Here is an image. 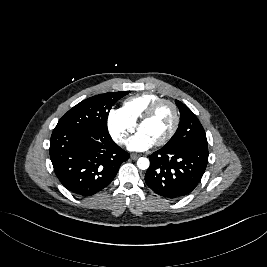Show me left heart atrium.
Returning <instances> with one entry per match:
<instances>
[{"mask_svg": "<svg viewBox=\"0 0 267 267\" xmlns=\"http://www.w3.org/2000/svg\"><path fill=\"white\" fill-rule=\"evenodd\" d=\"M154 144L155 142L142 132L136 133L127 141V147L133 151H144Z\"/></svg>", "mask_w": 267, "mask_h": 267, "instance_id": "left-heart-atrium-1", "label": "left heart atrium"}]
</instances>
